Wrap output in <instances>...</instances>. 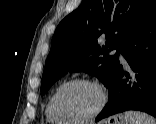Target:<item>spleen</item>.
I'll use <instances>...</instances> for the list:
<instances>
[{
  "label": "spleen",
  "instance_id": "1",
  "mask_svg": "<svg viewBox=\"0 0 156 124\" xmlns=\"http://www.w3.org/2000/svg\"><path fill=\"white\" fill-rule=\"evenodd\" d=\"M123 117L128 124H156L151 116L138 111H127Z\"/></svg>",
  "mask_w": 156,
  "mask_h": 124
}]
</instances>
